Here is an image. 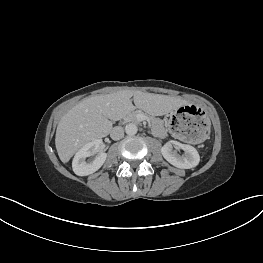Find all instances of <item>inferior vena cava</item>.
<instances>
[{
    "label": "inferior vena cava",
    "mask_w": 263,
    "mask_h": 263,
    "mask_svg": "<svg viewBox=\"0 0 263 263\" xmlns=\"http://www.w3.org/2000/svg\"><path fill=\"white\" fill-rule=\"evenodd\" d=\"M124 136V129L120 126L114 127L110 132V137L113 140H119Z\"/></svg>",
    "instance_id": "1"
}]
</instances>
